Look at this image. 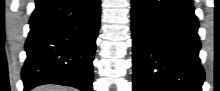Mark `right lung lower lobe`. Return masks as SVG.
<instances>
[{
    "mask_svg": "<svg viewBox=\"0 0 220 91\" xmlns=\"http://www.w3.org/2000/svg\"><path fill=\"white\" fill-rule=\"evenodd\" d=\"M100 0H36L25 44L24 91L59 84L92 91Z\"/></svg>",
    "mask_w": 220,
    "mask_h": 91,
    "instance_id": "right-lung-lower-lobe-1",
    "label": "right lung lower lobe"
}]
</instances>
